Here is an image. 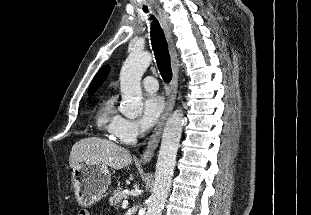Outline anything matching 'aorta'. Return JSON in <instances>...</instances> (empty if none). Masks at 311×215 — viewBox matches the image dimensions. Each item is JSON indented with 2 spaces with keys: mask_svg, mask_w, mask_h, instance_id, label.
<instances>
[{
  "mask_svg": "<svg viewBox=\"0 0 311 215\" xmlns=\"http://www.w3.org/2000/svg\"><path fill=\"white\" fill-rule=\"evenodd\" d=\"M152 61L151 54L146 51H133L125 60L120 72V90L122 103L121 113L133 119L142 113L143 98L141 78ZM183 128V113L174 111L167 120L159 150L152 194L148 200L146 215H161L168 197L176 155Z\"/></svg>",
  "mask_w": 311,
  "mask_h": 215,
  "instance_id": "1",
  "label": "aorta"
}]
</instances>
